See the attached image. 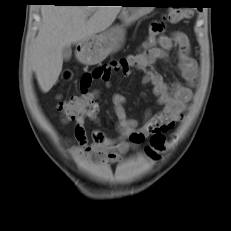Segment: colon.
I'll return each mask as SVG.
<instances>
[{"instance_id":"obj_1","label":"colon","mask_w":231,"mask_h":231,"mask_svg":"<svg viewBox=\"0 0 231 231\" xmlns=\"http://www.w3.org/2000/svg\"><path fill=\"white\" fill-rule=\"evenodd\" d=\"M191 15L187 9H172L168 12L167 19L172 23L180 22L189 18ZM93 103V97L90 93H82L69 100L59 103L58 109L66 121L75 120L87 110ZM167 140L162 133H155L151 136L145 151L151 158H158L167 147Z\"/></svg>"}]
</instances>
